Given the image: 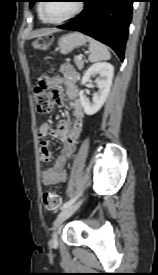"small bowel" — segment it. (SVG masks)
Wrapping results in <instances>:
<instances>
[{"label":"small bowel","mask_w":158,"mask_h":275,"mask_svg":"<svg viewBox=\"0 0 158 275\" xmlns=\"http://www.w3.org/2000/svg\"><path fill=\"white\" fill-rule=\"evenodd\" d=\"M61 76L43 77L41 80L47 83V87L53 89L55 97L53 106L67 105L72 112L73 121L62 120L54 128L50 124H42L39 128L40 139L39 159L41 162L54 161L53 165L40 171L42 184L55 186L66 180V166L75 152L77 140L83 129L84 111L79 100L77 81L78 72L70 65L63 64L60 67ZM66 91V98L61 88ZM52 135L62 142V151L54 156L49 149L47 137Z\"/></svg>","instance_id":"1"}]
</instances>
